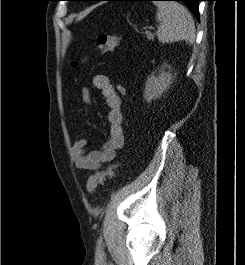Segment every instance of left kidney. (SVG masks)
Here are the masks:
<instances>
[{
  "label": "left kidney",
  "mask_w": 245,
  "mask_h": 265,
  "mask_svg": "<svg viewBox=\"0 0 245 265\" xmlns=\"http://www.w3.org/2000/svg\"><path fill=\"white\" fill-rule=\"evenodd\" d=\"M165 68L169 71L165 72ZM172 73L170 71V66L164 64L159 71L158 75H150L145 83L144 98L147 102H151L153 99L159 98L167 89L172 82Z\"/></svg>",
  "instance_id": "left-kidney-1"
}]
</instances>
